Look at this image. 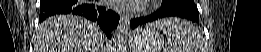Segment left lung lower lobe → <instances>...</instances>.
I'll use <instances>...</instances> for the list:
<instances>
[{"mask_svg":"<svg viewBox=\"0 0 261 52\" xmlns=\"http://www.w3.org/2000/svg\"><path fill=\"white\" fill-rule=\"evenodd\" d=\"M170 16H178L182 18H187L192 20L193 22L199 21V13L198 11H195L193 9H190L186 6H163L160 10L157 12L146 16V17H140V18H134L130 21V27L132 29L146 24L150 23L152 21L158 20L160 18L164 17H170Z\"/></svg>","mask_w":261,"mask_h":52,"instance_id":"0a47b994","label":"left lung lower lobe"}]
</instances>
